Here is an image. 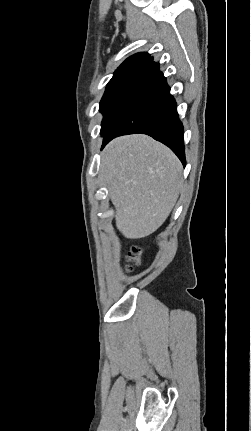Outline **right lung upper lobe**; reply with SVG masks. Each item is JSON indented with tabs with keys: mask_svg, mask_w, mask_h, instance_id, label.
Masks as SVG:
<instances>
[{
	"mask_svg": "<svg viewBox=\"0 0 251 431\" xmlns=\"http://www.w3.org/2000/svg\"><path fill=\"white\" fill-rule=\"evenodd\" d=\"M153 62V58L148 53H137L129 58H127L119 67L117 70L126 68V67H132V66H141L148 68L149 65ZM116 70V71H117ZM115 71V72H116Z\"/></svg>",
	"mask_w": 251,
	"mask_h": 431,
	"instance_id": "1",
	"label": "right lung upper lobe"
}]
</instances>
